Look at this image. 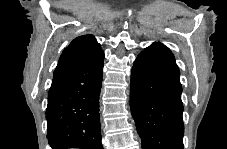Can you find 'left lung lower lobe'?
<instances>
[{"mask_svg": "<svg viewBox=\"0 0 227 149\" xmlns=\"http://www.w3.org/2000/svg\"><path fill=\"white\" fill-rule=\"evenodd\" d=\"M180 71L172 52L153 43L136 58L130 108L142 149H183Z\"/></svg>", "mask_w": 227, "mask_h": 149, "instance_id": "0a47b994", "label": "left lung lower lobe"}]
</instances>
